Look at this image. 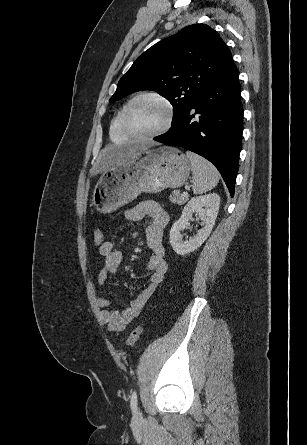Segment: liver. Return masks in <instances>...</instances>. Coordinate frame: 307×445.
Wrapping results in <instances>:
<instances>
[{"label": "liver", "mask_w": 307, "mask_h": 445, "mask_svg": "<svg viewBox=\"0 0 307 445\" xmlns=\"http://www.w3.org/2000/svg\"><path fill=\"white\" fill-rule=\"evenodd\" d=\"M158 144V142H157ZM128 156H132L129 148H114V146H106L102 148L97 164L92 170V174H98V172H103L107 168H112L114 164H119L122 160H127Z\"/></svg>", "instance_id": "6515ba94"}]
</instances>
